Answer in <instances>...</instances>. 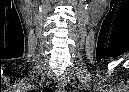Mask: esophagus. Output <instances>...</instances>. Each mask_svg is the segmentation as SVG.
Listing matches in <instances>:
<instances>
[{
  "label": "esophagus",
  "mask_w": 129,
  "mask_h": 92,
  "mask_svg": "<svg viewBox=\"0 0 129 92\" xmlns=\"http://www.w3.org/2000/svg\"><path fill=\"white\" fill-rule=\"evenodd\" d=\"M58 91L59 92H65L66 91V82L64 79H59L58 81Z\"/></svg>",
  "instance_id": "obj_1"
}]
</instances>
